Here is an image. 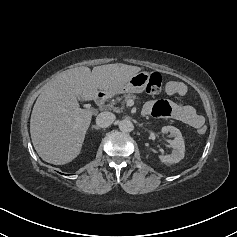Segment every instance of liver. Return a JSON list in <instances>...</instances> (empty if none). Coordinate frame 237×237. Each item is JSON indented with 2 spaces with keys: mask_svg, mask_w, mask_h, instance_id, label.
<instances>
[{
  "mask_svg": "<svg viewBox=\"0 0 237 237\" xmlns=\"http://www.w3.org/2000/svg\"><path fill=\"white\" fill-rule=\"evenodd\" d=\"M140 67L126 64L66 70L48 82L38 96L30 119V134L38 155L55 165L75 159L82 148L92 112L78 100H94L98 89L108 93L135 75Z\"/></svg>",
  "mask_w": 237,
  "mask_h": 237,
  "instance_id": "liver-1",
  "label": "liver"
}]
</instances>
